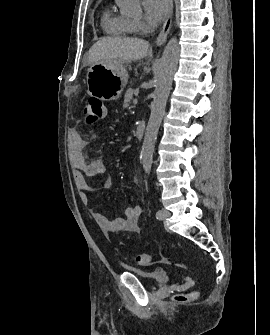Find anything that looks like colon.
Instances as JSON below:
<instances>
[{"mask_svg": "<svg viewBox=\"0 0 270 335\" xmlns=\"http://www.w3.org/2000/svg\"><path fill=\"white\" fill-rule=\"evenodd\" d=\"M106 109L103 101L95 96H91L88 99L87 106L84 109V117L88 124H94L100 122L105 115ZM135 264L138 265H149L151 263V254L149 252H137L133 255ZM197 295V291H189L177 295L175 298L180 302L188 301Z\"/></svg>", "mask_w": 270, "mask_h": 335, "instance_id": "1", "label": "colon"}]
</instances>
